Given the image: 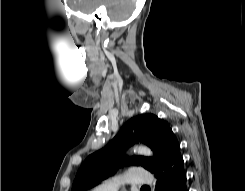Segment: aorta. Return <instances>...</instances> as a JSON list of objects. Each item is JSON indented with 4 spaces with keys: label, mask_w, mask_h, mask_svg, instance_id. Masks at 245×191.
<instances>
[{
    "label": "aorta",
    "mask_w": 245,
    "mask_h": 191,
    "mask_svg": "<svg viewBox=\"0 0 245 191\" xmlns=\"http://www.w3.org/2000/svg\"><path fill=\"white\" fill-rule=\"evenodd\" d=\"M134 151H136L137 153H139L141 155H146V156L147 155L149 156L152 154L151 150L146 146H136L134 148Z\"/></svg>",
    "instance_id": "1"
}]
</instances>
